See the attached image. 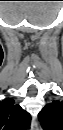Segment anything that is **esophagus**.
Masks as SVG:
<instances>
[{
  "label": "esophagus",
  "instance_id": "obj_1",
  "mask_svg": "<svg viewBox=\"0 0 63 130\" xmlns=\"http://www.w3.org/2000/svg\"><path fill=\"white\" fill-rule=\"evenodd\" d=\"M31 129L32 130H38V124H37V121L35 119H32Z\"/></svg>",
  "mask_w": 63,
  "mask_h": 130
}]
</instances>
